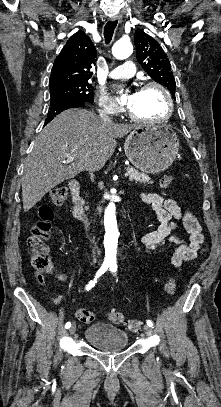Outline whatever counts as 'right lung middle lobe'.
Here are the masks:
<instances>
[{"instance_id": "1", "label": "right lung middle lobe", "mask_w": 221, "mask_h": 407, "mask_svg": "<svg viewBox=\"0 0 221 407\" xmlns=\"http://www.w3.org/2000/svg\"><path fill=\"white\" fill-rule=\"evenodd\" d=\"M51 103L64 99H78L92 103L94 92L91 84L80 82L50 90Z\"/></svg>"}]
</instances>
